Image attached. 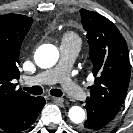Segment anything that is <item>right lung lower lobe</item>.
I'll use <instances>...</instances> for the list:
<instances>
[{"label": "right lung lower lobe", "mask_w": 133, "mask_h": 133, "mask_svg": "<svg viewBox=\"0 0 133 133\" xmlns=\"http://www.w3.org/2000/svg\"><path fill=\"white\" fill-rule=\"evenodd\" d=\"M43 97H31L16 108V110L0 124V129L7 133H19L30 127L43 106L45 105Z\"/></svg>", "instance_id": "obj_1"}]
</instances>
